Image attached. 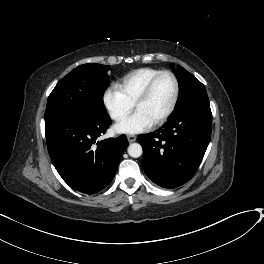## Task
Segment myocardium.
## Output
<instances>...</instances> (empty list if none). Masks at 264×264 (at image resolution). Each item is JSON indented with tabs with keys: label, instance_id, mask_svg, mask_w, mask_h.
<instances>
[{
	"label": "myocardium",
	"instance_id": "1",
	"mask_svg": "<svg viewBox=\"0 0 264 264\" xmlns=\"http://www.w3.org/2000/svg\"><path fill=\"white\" fill-rule=\"evenodd\" d=\"M163 75H169L173 79L174 94H173V98H172V101H171L169 108L166 110V112L162 116H160L156 121L153 122L152 125H154V126H159V125L163 124L172 115V113L174 112V110L176 108L178 98H179V92H180V85H179V81H178V78L176 77V75L169 70H163V71L159 72L158 74L153 76L148 81V83L146 84V86L144 87V89L142 90L139 97L137 98V100L134 103V108L136 109V107L139 104L144 102L149 97L153 86L155 85L157 80Z\"/></svg>",
	"mask_w": 264,
	"mask_h": 264
}]
</instances>
